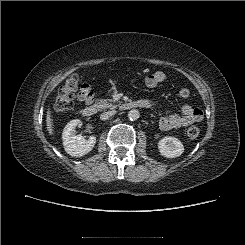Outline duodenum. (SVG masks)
Listing matches in <instances>:
<instances>
[{"mask_svg": "<svg viewBox=\"0 0 245 245\" xmlns=\"http://www.w3.org/2000/svg\"><path fill=\"white\" fill-rule=\"evenodd\" d=\"M139 105L140 103L138 102H125L120 105V110L122 111L131 110L133 108L138 107ZM97 111H98L97 106L95 104L89 103L83 108L82 114L85 117H92L97 113Z\"/></svg>", "mask_w": 245, "mask_h": 245, "instance_id": "1", "label": "duodenum"}]
</instances>
